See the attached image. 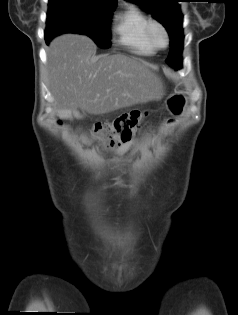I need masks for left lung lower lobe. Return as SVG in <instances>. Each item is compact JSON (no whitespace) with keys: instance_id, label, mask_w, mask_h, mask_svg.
<instances>
[{"instance_id":"1","label":"left lung lower lobe","mask_w":238,"mask_h":315,"mask_svg":"<svg viewBox=\"0 0 238 315\" xmlns=\"http://www.w3.org/2000/svg\"><path fill=\"white\" fill-rule=\"evenodd\" d=\"M170 40H171L170 55L177 59V61L179 63V67H180L181 63H182L180 56H181V52H182L183 35L178 34V35L172 36L170 38Z\"/></svg>"}]
</instances>
